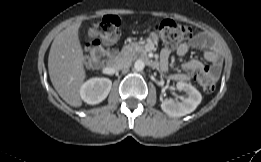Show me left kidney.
I'll return each mask as SVG.
<instances>
[{
    "instance_id": "left-kidney-1",
    "label": "left kidney",
    "mask_w": 261,
    "mask_h": 162,
    "mask_svg": "<svg viewBox=\"0 0 261 162\" xmlns=\"http://www.w3.org/2000/svg\"><path fill=\"white\" fill-rule=\"evenodd\" d=\"M176 87L179 91H184L187 97L181 101L165 100L161 103V109L172 117H181L193 112L201 103L200 92L191 84L178 82Z\"/></svg>"
}]
</instances>
